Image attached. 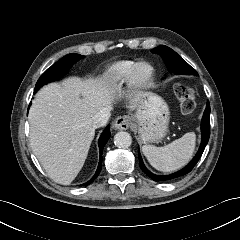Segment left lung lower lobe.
<instances>
[{"instance_id":"1","label":"left lung lower lobe","mask_w":240,"mask_h":240,"mask_svg":"<svg viewBox=\"0 0 240 240\" xmlns=\"http://www.w3.org/2000/svg\"><path fill=\"white\" fill-rule=\"evenodd\" d=\"M201 132H202V141H201V146L195 155V157L191 160V162L184 167L182 170L172 173L170 175H155L152 172H150L144 165L141 155L139 154V166L141 170L151 179L154 181H166V180H172L181 176H184L188 174L194 166L197 164L199 161L207 143L210 137V104L209 101L207 102L206 109L204 111V115L202 118V123H201Z\"/></svg>"}]
</instances>
